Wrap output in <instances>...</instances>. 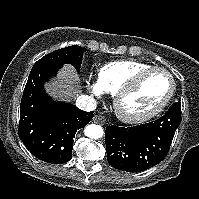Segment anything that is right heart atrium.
I'll return each instance as SVG.
<instances>
[{"mask_svg": "<svg viewBox=\"0 0 199 199\" xmlns=\"http://www.w3.org/2000/svg\"><path fill=\"white\" fill-rule=\"evenodd\" d=\"M88 91L91 93L92 96L95 98H100L104 95L105 91L98 82V80L90 81L87 83Z\"/></svg>", "mask_w": 199, "mask_h": 199, "instance_id": "obj_1", "label": "right heart atrium"}]
</instances>
